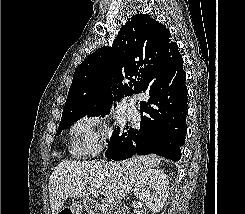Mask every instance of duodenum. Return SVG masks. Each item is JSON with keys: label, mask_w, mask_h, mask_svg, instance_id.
I'll return each mask as SVG.
<instances>
[{"label": "duodenum", "mask_w": 245, "mask_h": 214, "mask_svg": "<svg viewBox=\"0 0 245 214\" xmlns=\"http://www.w3.org/2000/svg\"><path fill=\"white\" fill-rule=\"evenodd\" d=\"M86 208L91 214H102L103 212L106 214H129L128 210L120 205L112 204L103 208L94 200H87Z\"/></svg>", "instance_id": "duodenum-1"}]
</instances>
